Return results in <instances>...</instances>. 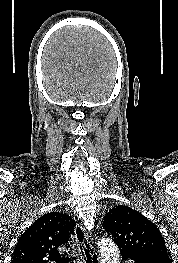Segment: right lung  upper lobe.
<instances>
[{
	"label": "right lung upper lobe",
	"mask_w": 178,
	"mask_h": 263,
	"mask_svg": "<svg viewBox=\"0 0 178 263\" xmlns=\"http://www.w3.org/2000/svg\"><path fill=\"white\" fill-rule=\"evenodd\" d=\"M74 226L66 214L41 216L20 236L11 263H66L69 258L58 248L70 241Z\"/></svg>",
	"instance_id": "1"
}]
</instances>
